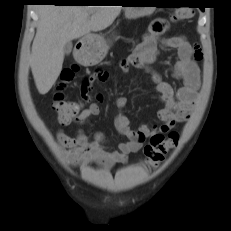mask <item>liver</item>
I'll use <instances>...</instances> for the list:
<instances>
[{
    "label": "liver",
    "instance_id": "liver-1",
    "mask_svg": "<svg viewBox=\"0 0 231 231\" xmlns=\"http://www.w3.org/2000/svg\"><path fill=\"white\" fill-rule=\"evenodd\" d=\"M122 6L41 5L30 66L40 94L49 92L64 61L67 42L109 27ZM91 15V17H90Z\"/></svg>",
    "mask_w": 231,
    "mask_h": 231
}]
</instances>
